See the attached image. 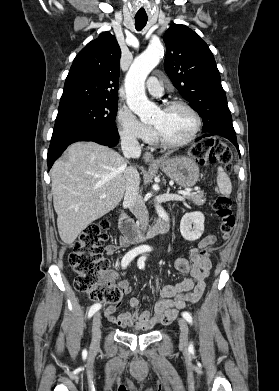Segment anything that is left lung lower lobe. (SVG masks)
Here are the masks:
<instances>
[{
	"mask_svg": "<svg viewBox=\"0 0 279 391\" xmlns=\"http://www.w3.org/2000/svg\"><path fill=\"white\" fill-rule=\"evenodd\" d=\"M210 135H220V136H223V137L227 138L228 140H230L235 145V147L238 149L236 135H234V134H224V133H211V134H206L203 137H207V136H210ZM199 139H197V140H199Z\"/></svg>",
	"mask_w": 279,
	"mask_h": 391,
	"instance_id": "0a47b994",
	"label": "left lung lower lobe"
}]
</instances>
